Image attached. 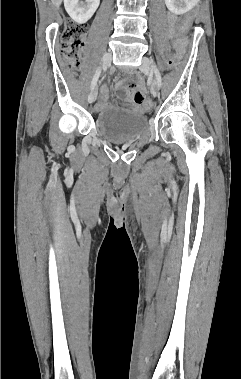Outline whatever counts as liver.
<instances>
[{
  "label": "liver",
  "mask_w": 241,
  "mask_h": 379,
  "mask_svg": "<svg viewBox=\"0 0 241 379\" xmlns=\"http://www.w3.org/2000/svg\"><path fill=\"white\" fill-rule=\"evenodd\" d=\"M53 4L56 6V7H59L62 0H52Z\"/></svg>",
  "instance_id": "liver-1"
}]
</instances>
